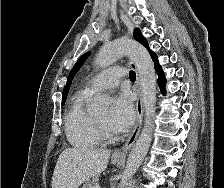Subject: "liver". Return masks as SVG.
<instances>
[{"label": "liver", "instance_id": "obj_1", "mask_svg": "<svg viewBox=\"0 0 224 188\" xmlns=\"http://www.w3.org/2000/svg\"><path fill=\"white\" fill-rule=\"evenodd\" d=\"M110 151L94 148H67L58 157L52 188H78L107 167Z\"/></svg>", "mask_w": 224, "mask_h": 188}]
</instances>
